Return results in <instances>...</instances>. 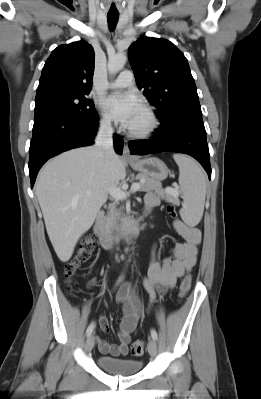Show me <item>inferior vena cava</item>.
Masks as SVG:
<instances>
[{
    "instance_id": "1",
    "label": "inferior vena cava",
    "mask_w": 261,
    "mask_h": 399,
    "mask_svg": "<svg viewBox=\"0 0 261 399\" xmlns=\"http://www.w3.org/2000/svg\"><path fill=\"white\" fill-rule=\"evenodd\" d=\"M113 132L110 121H104L100 124L95 138V146L101 149L106 156H111L114 153Z\"/></svg>"
}]
</instances>
